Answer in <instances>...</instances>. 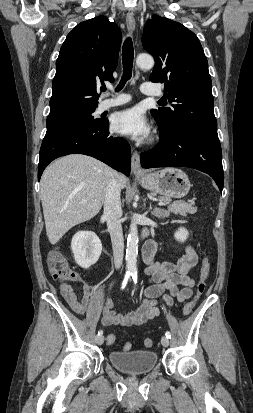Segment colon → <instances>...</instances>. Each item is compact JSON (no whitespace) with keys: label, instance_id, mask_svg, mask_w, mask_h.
Instances as JSON below:
<instances>
[{"label":"colon","instance_id":"5ec220e1","mask_svg":"<svg viewBox=\"0 0 253 413\" xmlns=\"http://www.w3.org/2000/svg\"><path fill=\"white\" fill-rule=\"evenodd\" d=\"M47 263H48L49 271L52 274L54 279L59 280L61 282H66L74 278L75 276L74 271L71 269L68 261L66 260V258L60 251L58 250L51 251L48 255ZM210 268H211V265H210L208 258H204L202 260V264L200 268L199 281L196 285V296L185 304L184 309H183L184 315H189L193 311L198 297L202 295L203 292L205 291L206 280L209 276ZM115 340H116V337L114 334H109L107 336V342L109 344H113ZM144 345L145 347L150 348L153 345V341L150 338H147L144 340ZM123 349L125 351L130 350L131 344L125 343L123 346Z\"/></svg>","mask_w":253,"mask_h":413}]
</instances>
